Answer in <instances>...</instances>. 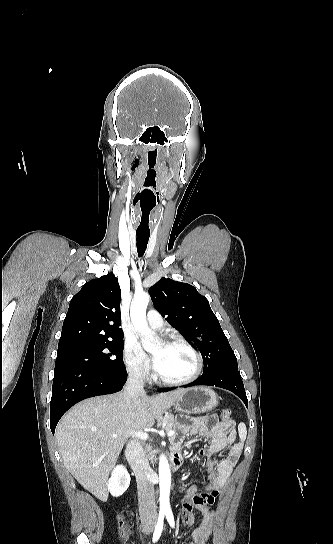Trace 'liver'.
Wrapping results in <instances>:
<instances>
[{
    "instance_id": "6515ba94",
    "label": "liver",
    "mask_w": 333,
    "mask_h": 544,
    "mask_svg": "<svg viewBox=\"0 0 333 544\" xmlns=\"http://www.w3.org/2000/svg\"><path fill=\"white\" fill-rule=\"evenodd\" d=\"M183 392L139 395L130 405L118 393L75 405L62 417L55 433L65 466L87 491L106 501L109 471L130 433L152 427Z\"/></svg>"
}]
</instances>
